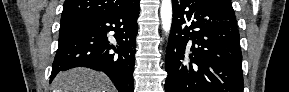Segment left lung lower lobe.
<instances>
[{"label": "left lung lower lobe", "mask_w": 289, "mask_h": 92, "mask_svg": "<svg viewBox=\"0 0 289 92\" xmlns=\"http://www.w3.org/2000/svg\"><path fill=\"white\" fill-rule=\"evenodd\" d=\"M165 92H243L234 13L209 0H172Z\"/></svg>", "instance_id": "0a47b994"}]
</instances>
